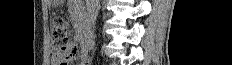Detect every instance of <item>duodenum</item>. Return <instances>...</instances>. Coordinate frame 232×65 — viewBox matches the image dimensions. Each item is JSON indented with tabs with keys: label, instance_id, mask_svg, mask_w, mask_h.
<instances>
[{
	"label": "duodenum",
	"instance_id": "duodenum-1",
	"mask_svg": "<svg viewBox=\"0 0 232 65\" xmlns=\"http://www.w3.org/2000/svg\"><path fill=\"white\" fill-rule=\"evenodd\" d=\"M78 40L82 46V52L85 54L91 48V39L89 31L82 30L79 33Z\"/></svg>",
	"mask_w": 232,
	"mask_h": 65
}]
</instances>
